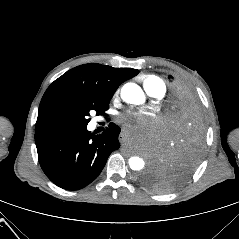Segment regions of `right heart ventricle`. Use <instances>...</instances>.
<instances>
[{"label": "right heart ventricle", "mask_w": 239, "mask_h": 239, "mask_svg": "<svg viewBox=\"0 0 239 239\" xmlns=\"http://www.w3.org/2000/svg\"><path fill=\"white\" fill-rule=\"evenodd\" d=\"M141 81L146 91H149L163 83L162 80L156 75H144L141 77Z\"/></svg>", "instance_id": "e07e8e85"}]
</instances>
